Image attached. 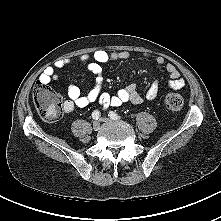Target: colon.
I'll return each instance as SVG.
<instances>
[{"label": "colon", "mask_w": 221, "mask_h": 221, "mask_svg": "<svg viewBox=\"0 0 221 221\" xmlns=\"http://www.w3.org/2000/svg\"><path fill=\"white\" fill-rule=\"evenodd\" d=\"M33 103L39 115L48 120L55 121L63 114V104L58 95L49 87L48 83L38 81L32 92ZM165 106L171 111H180L184 100L176 93H168L164 99Z\"/></svg>", "instance_id": "obj_1"}]
</instances>
